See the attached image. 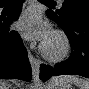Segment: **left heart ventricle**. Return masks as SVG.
Returning a JSON list of instances; mask_svg holds the SVG:
<instances>
[{
  "label": "left heart ventricle",
  "mask_w": 89,
  "mask_h": 89,
  "mask_svg": "<svg viewBox=\"0 0 89 89\" xmlns=\"http://www.w3.org/2000/svg\"><path fill=\"white\" fill-rule=\"evenodd\" d=\"M59 46H60V43H59L58 39L52 38V37H50V38L48 39V48H49L51 51H56V50H58Z\"/></svg>",
  "instance_id": "left-heart-ventricle-1"
}]
</instances>
